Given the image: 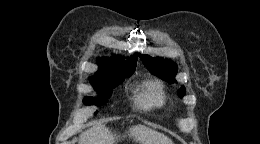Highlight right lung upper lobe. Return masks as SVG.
<instances>
[{
	"label": "right lung upper lobe",
	"instance_id": "cb5924a9",
	"mask_svg": "<svg viewBox=\"0 0 260 144\" xmlns=\"http://www.w3.org/2000/svg\"><path fill=\"white\" fill-rule=\"evenodd\" d=\"M97 63L99 65V70L95 73V77L123 74L130 71H135L137 53L128 58L126 62L122 57L114 56L113 59L99 58Z\"/></svg>",
	"mask_w": 260,
	"mask_h": 144
}]
</instances>
